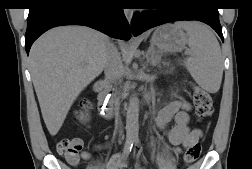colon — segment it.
Returning a JSON list of instances; mask_svg holds the SVG:
<instances>
[{
	"instance_id": "5ec220e1",
	"label": "colon",
	"mask_w": 252,
	"mask_h": 169,
	"mask_svg": "<svg viewBox=\"0 0 252 169\" xmlns=\"http://www.w3.org/2000/svg\"><path fill=\"white\" fill-rule=\"evenodd\" d=\"M193 103L196 111V115L199 119H205L209 117L213 112V101L211 95L198 87L194 88ZM81 109L89 106L88 100H83L80 104ZM81 111H77V115H80ZM57 149L60 155H62L67 162L76 165L80 160V152L82 150V143L79 139H62L57 144ZM201 154V144L196 142L187 147L183 161L186 165L193 164Z\"/></svg>"
}]
</instances>
